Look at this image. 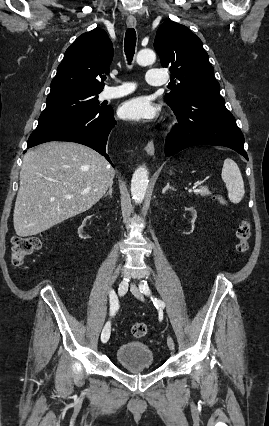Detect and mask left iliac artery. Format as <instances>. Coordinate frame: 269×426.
<instances>
[{
    "label": "left iliac artery",
    "instance_id": "left-iliac-artery-1",
    "mask_svg": "<svg viewBox=\"0 0 269 426\" xmlns=\"http://www.w3.org/2000/svg\"><path fill=\"white\" fill-rule=\"evenodd\" d=\"M139 290L144 293L145 295H150V289L148 287L147 282L145 281L144 283L139 285ZM151 300L153 301L154 306L159 309V308H164L165 304L163 301L157 299V298H153L151 297Z\"/></svg>",
    "mask_w": 269,
    "mask_h": 426
}]
</instances>
